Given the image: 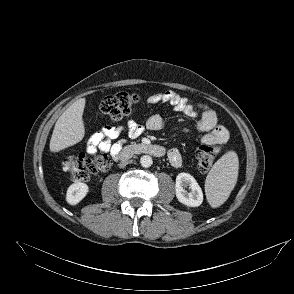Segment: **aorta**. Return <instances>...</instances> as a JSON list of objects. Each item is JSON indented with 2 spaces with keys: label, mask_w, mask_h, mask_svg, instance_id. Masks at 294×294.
Segmentation results:
<instances>
[{
  "label": "aorta",
  "mask_w": 294,
  "mask_h": 294,
  "mask_svg": "<svg viewBox=\"0 0 294 294\" xmlns=\"http://www.w3.org/2000/svg\"><path fill=\"white\" fill-rule=\"evenodd\" d=\"M153 161L152 158L149 155H143L140 158V164L142 167L148 168L152 165Z\"/></svg>",
  "instance_id": "aorta-1"
}]
</instances>
